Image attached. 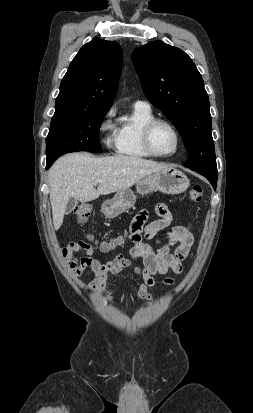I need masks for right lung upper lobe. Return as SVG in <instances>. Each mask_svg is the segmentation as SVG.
<instances>
[{
  "label": "right lung upper lobe",
  "instance_id": "right-lung-upper-lobe-1",
  "mask_svg": "<svg viewBox=\"0 0 253 413\" xmlns=\"http://www.w3.org/2000/svg\"><path fill=\"white\" fill-rule=\"evenodd\" d=\"M121 71L120 45L93 38L82 46L63 77L53 117L109 110Z\"/></svg>",
  "mask_w": 253,
  "mask_h": 413
}]
</instances>
